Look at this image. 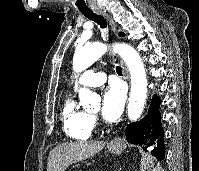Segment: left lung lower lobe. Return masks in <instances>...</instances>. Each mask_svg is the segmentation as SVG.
Listing matches in <instances>:
<instances>
[{"mask_svg": "<svg viewBox=\"0 0 199 171\" xmlns=\"http://www.w3.org/2000/svg\"><path fill=\"white\" fill-rule=\"evenodd\" d=\"M160 103V98L155 96L151 101L147 116L139 122L129 124L125 135L127 141L132 144L145 145L146 147L156 144L154 154L159 160H162L165 155V148L164 131L161 127V116L159 113Z\"/></svg>", "mask_w": 199, "mask_h": 171, "instance_id": "left-lung-lower-lobe-1", "label": "left lung lower lobe"}]
</instances>
